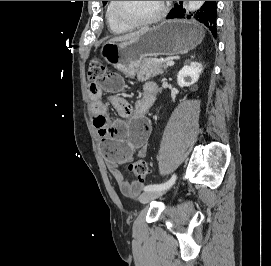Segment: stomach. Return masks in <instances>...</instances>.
Wrapping results in <instances>:
<instances>
[{"mask_svg": "<svg viewBox=\"0 0 271 266\" xmlns=\"http://www.w3.org/2000/svg\"><path fill=\"white\" fill-rule=\"evenodd\" d=\"M204 38L203 28L191 21L168 20L124 42L105 43L104 60L120 72L134 76L146 56L175 55L195 48Z\"/></svg>", "mask_w": 271, "mask_h": 266, "instance_id": "1", "label": "stomach"}]
</instances>
